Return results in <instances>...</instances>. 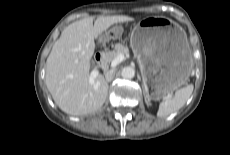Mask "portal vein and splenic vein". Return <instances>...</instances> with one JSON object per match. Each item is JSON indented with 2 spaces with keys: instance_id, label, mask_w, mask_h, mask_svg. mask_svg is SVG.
<instances>
[{
  "instance_id": "1",
  "label": "portal vein and splenic vein",
  "mask_w": 230,
  "mask_h": 155,
  "mask_svg": "<svg viewBox=\"0 0 230 155\" xmlns=\"http://www.w3.org/2000/svg\"><path fill=\"white\" fill-rule=\"evenodd\" d=\"M125 59L124 54H119L116 58H114L111 62V67L115 68L118 64H120ZM99 74L97 70H93L90 74V81H93L94 78Z\"/></svg>"
}]
</instances>
